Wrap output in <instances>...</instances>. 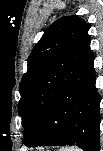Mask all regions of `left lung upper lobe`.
<instances>
[{"label":"left lung upper lobe","mask_w":103,"mask_h":151,"mask_svg":"<svg viewBox=\"0 0 103 151\" xmlns=\"http://www.w3.org/2000/svg\"><path fill=\"white\" fill-rule=\"evenodd\" d=\"M90 26L91 24L86 23L79 16L73 15L60 18L45 31L28 58L27 72L19 84L21 99L18 104V111L21 116H24L27 111L33 78L53 59L86 34Z\"/></svg>","instance_id":"1"}]
</instances>
